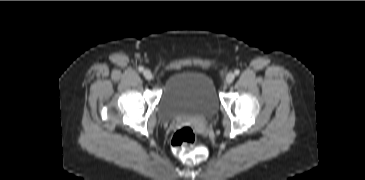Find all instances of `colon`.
I'll list each match as a JSON object with an SVG mask.
<instances>
[{
    "label": "colon",
    "mask_w": 365,
    "mask_h": 180,
    "mask_svg": "<svg viewBox=\"0 0 365 180\" xmlns=\"http://www.w3.org/2000/svg\"><path fill=\"white\" fill-rule=\"evenodd\" d=\"M196 134L189 126L178 129L171 140L173 152L185 164L195 165L207 157V149L196 146Z\"/></svg>",
    "instance_id": "1"
}]
</instances>
